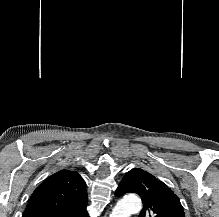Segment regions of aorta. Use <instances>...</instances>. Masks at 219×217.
Listing matches in <instances>:
<instances>
[{
    "mask_svg": "<svg viewBox=\"0 0 219 217\" xmlns=\"http://www.w3.org/2000/svg\"><path fill=\"white\" fill-rule=\"evenodd\" d=\"M142 208L141 199L138 196L130 195L120 200L113 208L110 217H130Z\"/></svg>",
    "mask_w": 219,
    "mask_h": 217,
    "instance_id": "obj_1",
    "label": "aorta"
}]
</instances>
